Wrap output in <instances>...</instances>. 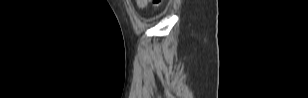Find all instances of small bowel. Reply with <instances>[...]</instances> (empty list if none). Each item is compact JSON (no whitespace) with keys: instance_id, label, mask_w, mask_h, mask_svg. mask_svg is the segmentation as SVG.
<instances>
[{"instance_id":"c3829d8e","label":"small bowel","mask_w":308,"mask_h":98,"mask_svg":"<svg viewBox=\"0 0 308 98\" xmlns=\"http://www.w3.org/2000/svg\"><path fill=\"white\" fill-rule=\"evenodd\" d=\"M138 6H139V7H143V6L139 5V4H138Z\"/></svg>"}]
</instances>
